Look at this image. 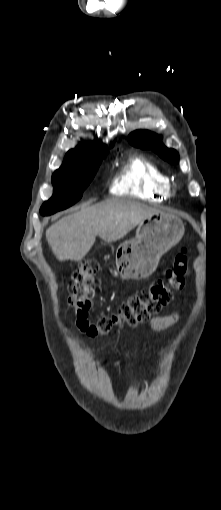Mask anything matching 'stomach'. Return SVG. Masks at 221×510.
<instances>
[{"label":"stomach","mask_w":221,"mask_h":510,"mask_svg":"<svg viewBox=\"0 0 221 510\" xmlns=\"http://www.w3.org/2000/svg\"><path fill=\"white\" fill-rule=\"evenodd\" d=\"M182 220L169 212L160 211L142 221L136 237L121 243L116 252V268L131 281L149 277L160 257L176 245L184 235Z\"/></svg>","instance_id":"stomach-1"}]
</instances>
